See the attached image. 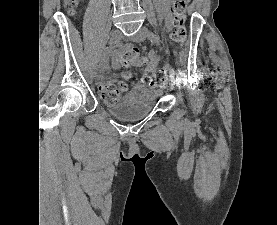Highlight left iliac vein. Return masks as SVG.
I'll return each mask as SVG.
<instances>
[{
	"instance_id": "4c4485c4",
	"label": "left iliac vein",
	"mask_w": 277,
	"mask_h": 225,
	"mask_svg": "<svg viewBox=\"0 0 277 225\" xmlns=\"http://www.w3.org/2000/svg\"><path fill=\"white\" fill-rule=\"evenodd\" d=\"M147 29L146 28H141L136 34H134L133 36L130 37V39L134 42H143L146 37H147ZM176 83V79L173 76L169 77V85H170V89H173Z\"/></svg>"
}]
</instances>
